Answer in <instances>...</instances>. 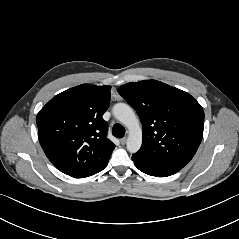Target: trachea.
<instances>
[{
	"mask_svg": "<svg viewBox=\"0 0 239 239\" xmlns=\"http://www.w3.org/2000/svg\"><path fill=\"white\" fill-rule=\"evenodd\" d=\"M112 134L117 138H122L125 135V128L120 124H115L112 128Z\"/></svg>",
	"mask_w": 239,
	"mask_h": 239,
	"instance_id": "3493384b",
	"label": "trachea"
}]
</instances>
